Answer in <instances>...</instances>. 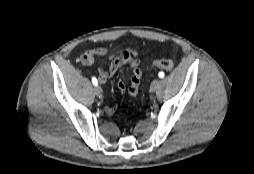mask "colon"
Listing matches in <instances>:
<instances>
[{"label": "colon", "mask_w": 254, "mask_h": 174, "mask_svg": "<svg viewBox=\"0 0 254 174\" xmlns=\"http://www.w3.org/2000/svg\"><path fill=\"white\" fill-rule=\"evenodd\" d=\"M153 67L161 70H171L174 67V63L170 59H158L153 62Z\"/></svg>", "instance_id": "5ec220e1"}]
</instances>
